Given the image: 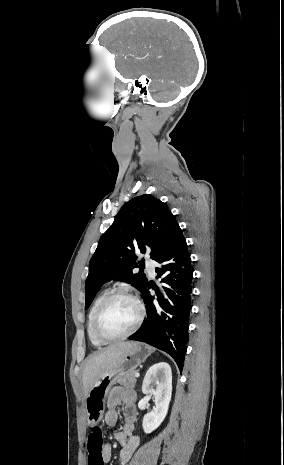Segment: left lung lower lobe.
<instances>
[{
    "label": "left lung lower lobe",
    "instance_id": "obj_1",
    "mask_svg": "<svg viewBox=\"0 0 284 465\" xmlns=\"http://www.w3.org/2000/svg\"><path fill=\"white\" fill-rule=\"evenodd\" d=\"M155 261L160 264L156 272L163 285L158 288L147 282L142 289L147 319L129 339L145 342L167 352L182 370L189 341L193 270L180 227L168 248ZM150 288L156 291V299L150 295Z\"/></svg>",
    "mask_w": 284,
    "mask_h": 465
}]
</instances>
